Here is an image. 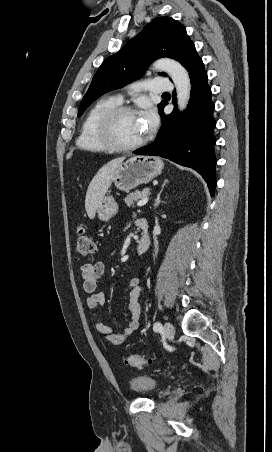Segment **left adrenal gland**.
I'll return each mask as SVG.
<instances>
[{
  "label": "left adrenal gland",
  "instance_id": "a2214340",
  "mask_svg": "<svg viewBox=\"0 0 272 452\" xmlns=\"http://www.w3.org/2000/svg\"><path fill=\"white\" fill-rule=\"evenodd\" d=\"M167 183H168V180H167V179L164 180V182H163V184H162V186H161L160 192L158 193V195H157V197H156V199H155L154 209L157 208V207L159 206V204H160V196H161V193L163 192V189H164V187L166 186Z\"/></svg>",
  "mask_w": 272,
  "mask_h": 452
}]
</instances>
